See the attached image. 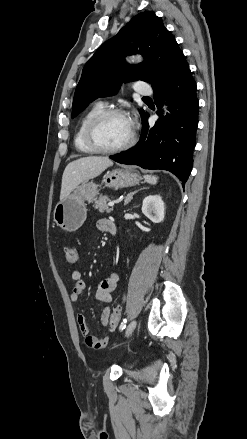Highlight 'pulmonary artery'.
Listing matches in <instances>:
<instances>
[{
  "mask_svg": "<svg viewBox=\"0 0 247 439\" xmlns=\"http://www.w3.org/2000/svg\"><path fill=\"white\" fill-rule=\"evenodd\" d=\"M134 90L142 95H149L151 91V87L144 81H137L134 83Z\"/></svg>",
  "mask_w": 247,
  "mask_h": 439,
  "instance_id": "e3ab8cb5",
  "label": "pulmonary artery"
}]
</instances>
